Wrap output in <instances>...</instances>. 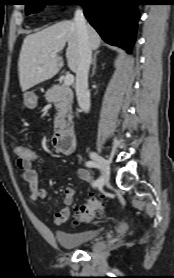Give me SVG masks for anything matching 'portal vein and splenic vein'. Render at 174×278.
<instances>
[{
    "instance_id": "obj_1",
    "label": "portal vein and splenic vein",
    "mask_w": 174,
    "mask_h": 278,
    "mask_svg": "<svg viewBox=\"0 0 174 278\" xmlns=\"http://www.w3.org/2000/svg\"><path fill=\"white\" fill-rule=\"evenodd\" d=\"M55 55H56L55 53L51 54L52 57H54ZM73 82H74V76L72 74H67L64 78V85L70 86L73 84Z\"/></svg>"
}]
</instances>
